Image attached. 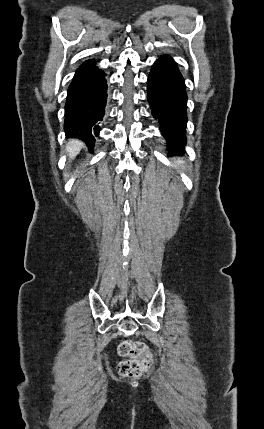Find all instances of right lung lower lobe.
<instances>
[{
	"label": "right lung lower lobe",
	"mask_w": 264,
	"mask_h": 429,
	"mask_svg": "<svg viewBox=\"0 0 264 429\" xmlns=\"http://www.w3.org/2000/svg\"><path fill=\"white\" fill-rule=\"evenodd\" d=\"M103 70L90 60L76 71L68 88L64 131L68 137L84 141L93 150L105 113L107 84Z\"/></svg>",
	"instance_id": "obj_1"
}]
</instances>
